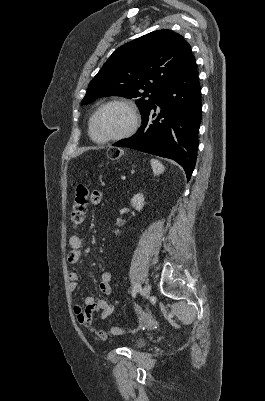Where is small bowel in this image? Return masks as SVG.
<instances>
[{"label":"small bowel","mask_w":265,"mask_h":401,"mask_svg":"<svg viewBox=\"0 0 265 401\" xmlns=\"http://www.w3.org/2000/svg\"><path fill=\"white\" fill-rule=\"evenodd\" d=\"M102 200V194L99 191H92L90 194V203L92 205L100 204ZM83 245V240L79 235H72L69 238L70 251L67 255V260L70 264H77L81 258V248ZM79 275L77 271H71L69 273L70 289L74 291L78 285ZM112 274L109 271H104L99 276V290L103 295H110L112 292L111 287ZM85 309L79 305L74 306L73 310L77 317V320L86 328L92 327L93 315L96 312H100V318L106 320L115 310V306L109 304L105 299L88 296L85 298ZM99 340L106 341L108 335L104 331H98L96 335Z\"/></svg>","instance_id":"small-bowel-1"}]
</instances>
